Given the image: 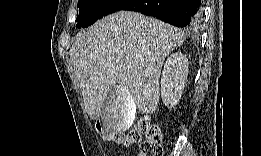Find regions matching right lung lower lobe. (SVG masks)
<instances>
[{"mask_svg":"<svg viewBox=\"0 0 261 156\" xmlns=\"http://www.w3.org/2000/svg\"><path fill=\"white\" fill-rule=\"evenodd\" d=\"M120 10L141 12L177 27L193 28L201 18V0H125L115 11Z\"/></svg>","mask_w":261,"mask_h":156,"instance_id":"1","label":"right lung lower lobe"}]
</instances>
